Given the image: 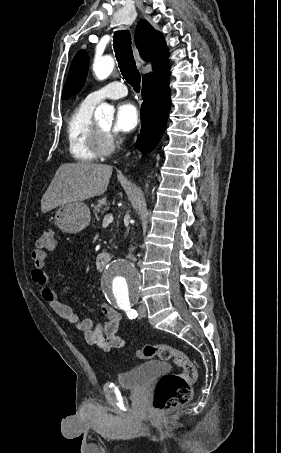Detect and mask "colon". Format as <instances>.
Returning a JSON list of instances; mask_svg holds the SVG:
<instances>
[{
  "label": "colon",
  "instance_id": "1",
  "mask_svg": "<svg viewBox=\"0 0 281 453\" xmlns=\"http://www.w3.org/2000/svg\"><path fill=\"white\" fill-rule=\"evenodd\" d=\"M57 229L45 227L36 247L40 250H54ZM140 361L158 358L162 362L171 363L181 370L180 373H168L156 384L153 408L158 413H167L181 404L191 400L189 381L198 375V367L187 356L169 344L147 346L135 351Z\"/></svg>",
  "mask_w": 281,
  "mask_h": 453
}]
</instances>
